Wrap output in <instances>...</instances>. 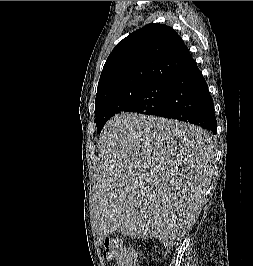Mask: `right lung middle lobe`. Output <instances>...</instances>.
Here are the masks:
<instances>
[{"label":"right lung middle lobe","mask_w":253,"mask_h":266,"mask_svg":"<svg viewBox=\"0 0 253 266\" xmlns=\"http://www.w3.org/2000/svg\"><path fill=\"white\" fill-rule=\"evenodd\" d=\"M170 83L154 82L125 92L117 97L97 104L95 107L96 126L101 132L105 123L120 112H136L158 116L162 113Z\"/></svg>","instance_id":"right-lung-middle-lobe-1"}]
</instances>
